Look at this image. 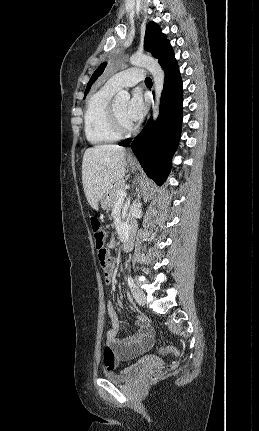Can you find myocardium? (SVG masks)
<instances>
[{"label":"myocardium","instance_id":"f54148a6","mask_svg":"<svg viewBox=\"0 0 259 431\" xmlns=\"http://www.w3.org/2000/svg\"><path fill=\"white\" fill-rule=\"evenodd\" d=\"M109 122H110V126H111L112 130L118 136L130 135L136 130V127L133 125L126 127L121 123V121H120V119L116 113L114 103H111L109 106Z\"/></svg>","mask_w":259,"mask_h":431}]
</instances>
